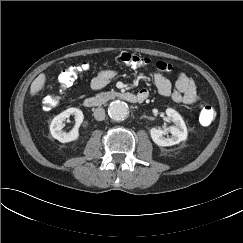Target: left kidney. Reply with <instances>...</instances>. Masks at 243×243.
<instances>
[{"label": "left kidney", "instance_id": "5707ae66", "mask_svg": "<svg viewBox=\"0 0 243 243\" xmlns=\"http://www.w3.org/2000/svg\"><path fill=\"white\" fill-rule=\"evenodd\" d=\"M166 115L175 123V126H171L167 129L172 136L166 138L163 136L166 131L152 128L150 130V135L153 142L158 146H172L185 141L187 139V127L181 115L172 108L166 109Z\"/></svg>", "mask_w": 243, "mask_h": 243}]
</instances>
